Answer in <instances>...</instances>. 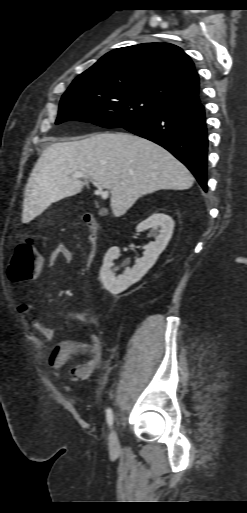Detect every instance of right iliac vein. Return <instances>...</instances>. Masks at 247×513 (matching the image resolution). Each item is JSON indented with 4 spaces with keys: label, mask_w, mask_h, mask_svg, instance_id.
<instances>
[{
    "label": "right iliac vein",
    "mask_w": 247,
    "mask_h": 513,
    "mask_svg": "<svg viewBox=\"0 0 247 513\" xmlns=\"http://www.w3.org/2000/svg\"><path fill=\"white\" fill-rule=\"evenodd\" d=\"M108 444H109L110 453L112 455L117 454L119 451L120 445H119V440H118V436H117L115 429H112L109 434Z\"/></svg>",
    "instance_id": "obj_1"
}]
</instances>
